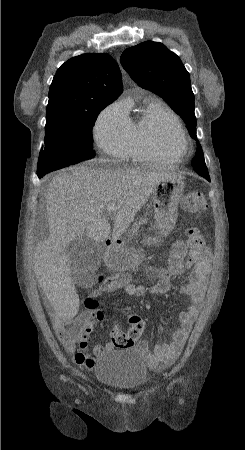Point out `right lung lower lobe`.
Here are the masks:
<instances>
[{"instance_id": "right-lung-lower-lobe-1", "label": "right lung lower lobe", "mask_w": 245, "mask_h": 450, "mask_svg": "<svg viewBox=\"0 0 245 450\" xmlns=\"http://www.w3.org/2000/svg\"><path fill=\"white\" fill-rule=\"evenodd\" d=\"M45 174H47V173H39V172H37V175H38L39 178L43 177Z\"/></svg>"}]
</instances>
